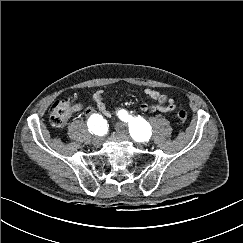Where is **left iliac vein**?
I'll return each mask as SVG.
<instances>
[{"mask_svg": "<svg viewBox=\"0 0 243 243\" xmlns=\"http://www.w3.org/2000/svg\"><path fill=\"white\" fill-rule=\"evenodd\" d=\"M115 128H116V130H117L119 133H121V134H123V135H125V136L128 135L127 126H126L125 124H123V123H117V124L115 125Z\"/></svg>", "mask_w": 243, "mask_h": 243, "instance_id": "4c4485c4", "label": "left iliac vein"}]
</instances>
